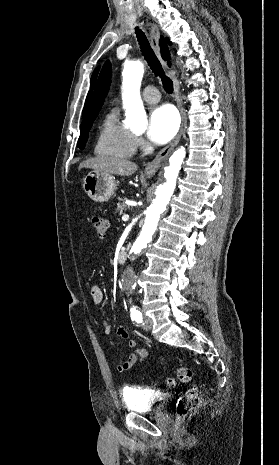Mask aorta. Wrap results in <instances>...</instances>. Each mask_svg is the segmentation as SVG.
Listing matches in <instances>:
<instances>
[{
    "mask_svg": "<svg viewBox=\"0 0 279 465\" xmlns=\"http://www.w3.org/2000/svg\"><path fill=\"white\" fill-rule=\"evenodd\" d=\"M122 100L126 111V119L134 129L143 130L146 126V112L140 96V87L144 74V66L141 62L126 63L123 69ZM185 148L176 150L169 159V165L164 168L166 182L160 184L157 189L156 199L148 208L144 226L133 243L131 255H137L152 240L161 214L165 211L176 186V179L185 158ZM125 288L130 289L133 284L131 276L123 281Z\"/></svg>",
    "mask_w": 279,
    "mask_h": 465,
    "instance_id": "1",
    "label": "aorta"
}]
</instances>
